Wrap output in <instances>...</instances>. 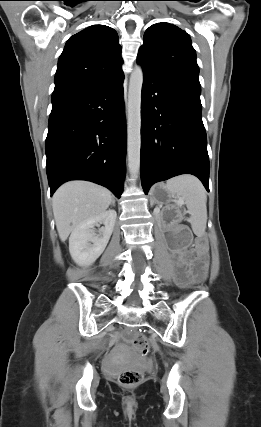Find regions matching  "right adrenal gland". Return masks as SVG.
<instances>
[{
  "instance_id": "2a0ac1e0",
  "label": "right adrenal gland",
  "mask_w": 261,
  "mask_h": 427,
  "mask_svg": "<svg viewBox=\"0 0 261 427\" xmlns=\"http://www.w3.org/2000/svg\"><path fill=\"white\" fill-rule=\"evenodd\" d=\"M111 205H112V206H115V200H112V201H111Z\"/></svg>"
}]
</instances>
